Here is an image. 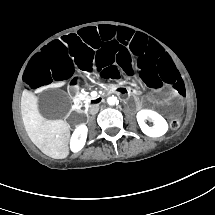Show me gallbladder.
I'll use <instances>...</instances> for the list:
<instances>
[{"label": "gallbladder", "mask_w": 215, "mask_h": 215, "mask_svg": "<svg viewBox=\"0 0 215 215\" xmlns=\"http://www.w3.org/2000/svg\"><path fill=\"white\" fill-rule=\"evenodd\" d=\"M69 106V97L59 90H49L39 100L41 112L47 118H63Z\"/></svg>", "instance_id": "gallbladder-1"}]
</instances>
